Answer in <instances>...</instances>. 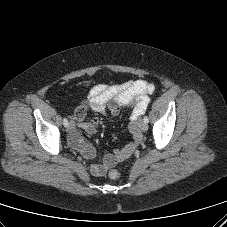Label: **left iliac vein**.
<instances>
[{"label":"left iliac vein","instance_id":"left-iliac-vein-1","mask_svg":"<svg viewBox=\"0 0 227 227\" xmlns=\"http://www.w3.org/2000/svg\"><path fill=\"white\" fill-rule=\"evenodd\" d=\"M139 127H140V129H141L143 132L147 131V129H148V125H147V123H145L144 121H141V122L139 123Z\"/></svg>","mask_w":227,"mask_h":227}]
</instances>
